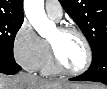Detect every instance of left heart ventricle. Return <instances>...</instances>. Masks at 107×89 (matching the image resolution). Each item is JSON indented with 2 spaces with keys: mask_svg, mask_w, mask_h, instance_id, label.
I'll return each instance as SVG.
<instances>
[{
  "mask_svg": "<svg viewBox=\"0 0 107 89\" xmlns=\"http://www.w3.org/2000/svg\"><path fill=\"white\" fill-rule=\"evenodd\" d=\"M49 41L54 45L62 63L70 70L80 69L86 61V50L82 40L75 34L53 32Z\"/></svg>",
  "mask_w": 107,
  "mask_h": 89,
  "instance_id": "b2bd125f",
  "label": "left heart ventricle"
}]
</instances>
